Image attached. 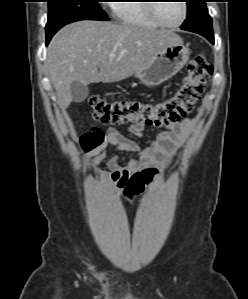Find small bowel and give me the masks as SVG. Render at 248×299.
<instances>
[{"mask_svg":"<svg viewBox=\"0 0 248 299\" xmlns=\"http://www.w3.org/2000/svg\"><path fill=\"white\" fill-rule=\"evenodd\" d=\"M193 126L192 119L165 124L164 130L159 132L149 146L141 147L131 138L121 134L116 128H108L102 131L99 128H91L82 137V145L88 151L87 156L93 157L90 163L92 174L102 181L108 179L113 181V189L122 190L129 174L140 165H160L168 170L172 166V157L177 153L184 137H186ZM148 125L135 122L130 125V132L136 137H143ZM108 147H114L125 153L138 155L141 161L131 160L126 166H119L116 159L108 161L107 169H101L98 164L103 160L104 153ZM96 189H100L96 186Z\"/></svg>","mask_w":248,"mask_h":299,"instance_id":"1","label":"small bowel"}]
</instances>
